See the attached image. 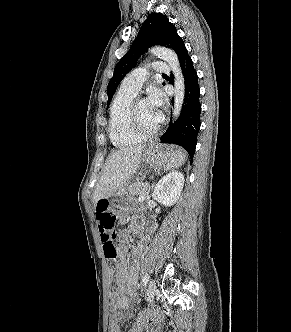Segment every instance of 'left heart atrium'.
Instances as JSON below:
<instances>
[{
	"label": "left heart atrium",
	"mask_w": 291,
	"mask_h": 332,
	"mask_svg": "<svg viewBox=\"0 0 291 332\" xmlns=\"http://www.w3.org/2000/svg\"><path fill=\"white\" fill-rule=\"evenodd\" d=\"M148 104L154 110L159 122L162 120L161 108L164 104V95L158 89H151L147 99Z\"/></svg>",
	"instance_id": "39dd6f15"
}]
</instances>
